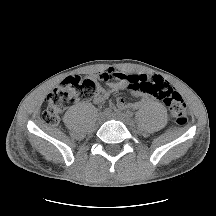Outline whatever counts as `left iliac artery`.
<instances>
[{"mask_svg":"<svg viewBox=\"0 0 216 216\" xmlns=\"http://www.w3.org/2000/svg\"><path fill=\"white\" fill-rule=\"evenodd\" d=\"M125 114H126L129 118H131V117L133 116V113H132L131 111H129V110H127V111L125 112Z\"/></svg>","mask_w":216,"mask_h":216,"instance_id":"obj_1","label":"left iliac artery"}]
</instances>
